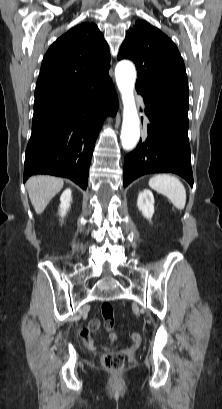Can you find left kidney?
I'll list each match as a JSON object with an SVG mask.
<instances>
[{
    "label": "left kidney",
    "instance_id": "obj_1",
    "mask_svg": "<svg viewBox=\"0 0 222 409\" xmlns=\"http://www.w3.org/2000/svg\"><path fill=\"white\" fill-rule=\"evenodd\" d=\"M137 206L145 218L149 220L152 218L154 213V197L150 190L145 189L139 193Z\"/></svg>",
    "mask_w": 222,
    "mask_h": 409
}]
</instances>
